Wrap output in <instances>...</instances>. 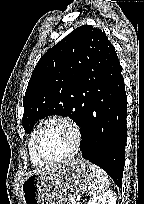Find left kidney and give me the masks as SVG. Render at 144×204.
Returning a JSON list of instances; mask_svg holds the SVG:
<instances>
[{
	"mask_svg": "<svg viewBox=\"0 0 144 204\" xmlns=\"http://www.w3.org/2000/svg\"><path fill=\"white\" fill-rule=\"evenodd\" d=\"M87 204H116V194L113 191L108 190L100 197L93 198Z\"/></svg>",
	"mask_w": 144,
	"mask_h": 204,
	"instance_id": "1",
	"label": "left kidney"
}]
</instances>
